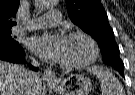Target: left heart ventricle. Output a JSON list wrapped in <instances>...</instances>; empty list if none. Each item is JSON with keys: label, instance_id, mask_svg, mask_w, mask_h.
Listing matches in <instances>:
<instances>
[{"label": "left heart ventricle", "instance_id": "obj_1", "mask_svg": "<svg viewBox=\"0 0 135 95\" xmlns=\"http://www.w3.org/2000/svg\"><path fill=\"white\" fill-rule=\"evenodd\" d=\"M47 28L53 29L54 27L47 26ZM90 55L91 49L83 38H67L61 62L68 64L80 63L88 59Z\"/></svg>", "mask_w": 135, "mask_h": 95}]
</instances>
